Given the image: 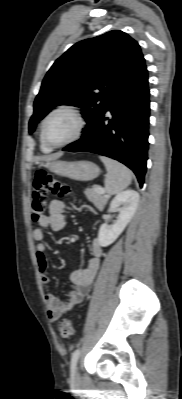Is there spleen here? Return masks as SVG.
I'll return each instance as SVG.
<instances>
[{
    "label": "spleen",
    "mask_w": 182,
    "mask_h": 399,
    "mask_svg": "<svg viewBox=\"0 0 182 399\" xmlns=\"http://www.w3.org/2000/svg\"><path fill=\"white\" fill-rule=\"evenodd\" d=\"M104 163L107 174L105 176V188L109 194H118L126 189L132 180L131 171L123 164L107 158L100 157Z\"/></svg>",
    "instance_id": "3e777b00"
}]
</instances>
